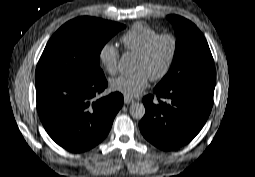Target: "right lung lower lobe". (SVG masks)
Here are the masks:
<instances>
[{
	"mask_svg": "<svg viewBox=\"0 0 255 177\" xmlns=\"http://www.w3.org/2000/svg\"><path fill=\"white\" fill-rule=\"evenodd\" d=\"M106 87L105 76L95 80L51 77L36 82L39 117L58 145L83 152L106 137L123 104L118 92L95 100Z\"/></svg>",
	"mask_w": 255,
	"mask_h": 177,
	"instance_id": "obj_1",
	"label": "right lung lower lobe"
}]
</instances>
